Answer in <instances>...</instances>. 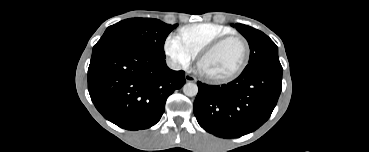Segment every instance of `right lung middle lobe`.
I'll list each match as a JSON object with an SVG mask.
<instances>
[{
	"instance_id": "obj_1",
	"label": "right lung middle lobe",
	"mask_w": 369,
	"mask_h": 152,
	"mask_svg": "<svg viewBox=\"0 0 369 152\" xmlns=\"http://www.w3.org/2000/svg\"><path fill=\"white\" fill-rule=\"evenodd\" d=\"M178 26L152 18H131L108 27L93 47L92 55L104 50L128 46L165 59L164 43L168 34Z\"/></svg>"
}]
</instances>
